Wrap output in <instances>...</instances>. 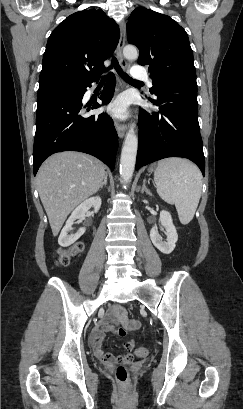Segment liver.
Wrapping results in <instances>:
<instances>
[{
    "mask_svg": "<svg viewBox=\"0 0 243 409\" xmlns=\"http://www.w3.org/2000/svg\"><path fill=\"white\" fill-rule=\"evenodd\" d=\"M105 174L104 164L84 153L61 152L45 160L36 180L53 236L71 211L99 190Z\"/></svg>",
    "mask_w": 243,
    "mask_h": 409,
    "instance_id": "6515ba94",
    "label": "liver"
}]
</instances>
